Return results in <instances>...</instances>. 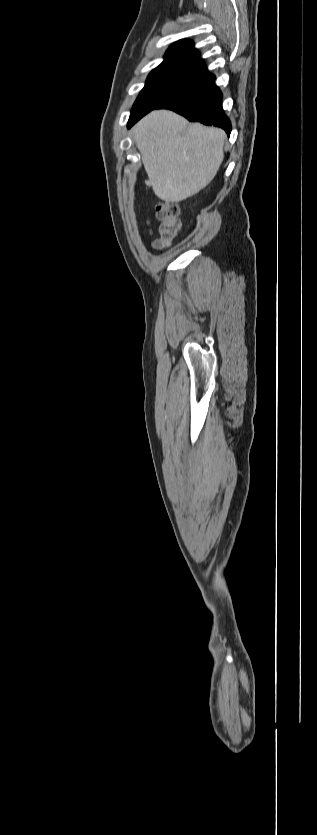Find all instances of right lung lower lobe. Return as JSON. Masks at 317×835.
Segmentation results:
<instances>
[{
    "label": "right lung lower lobe",
    "mask_w": 317,
    "mask_h": 835,
    "mask_svg": "<svg viewBox=\"0 0 317 835\" xmlns=\"http://www.w3.org/2000/svg\"><path fill=\"white\" fill-rule=\"evenodd\" d=\"M191 61L207 81L194 89L173 97L154 109H171L189 121L220 127L229 136L231 123L222 107V93L214 84L215 76L208 73L200 58L197 57Z\"/></svg>",
    "instance_id": "obj_1"
}]
</instances>
